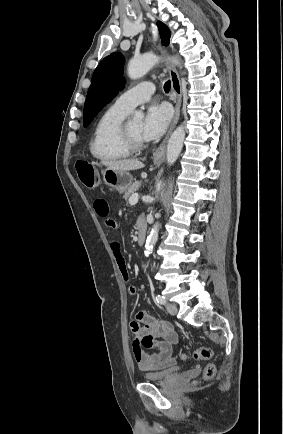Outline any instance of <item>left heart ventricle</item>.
<instances>
[{
	"label": "left heart ventricle",
	"mask_w": 283,
	"mask_h": 434,
	"mask_svg": "<svg viewBox=\"0 0 283 434\" xmlns=\"http://www.w3.org/2000/svg\"><path fill=\"white\" fill-rule=\"evenodd\" d=\"M128 127L130 132L135 136L136 138H141V127H142V120L141 119H135L128 123Z\"/></svg>",
	"instance_id": "obj_1"
}]
</instances>
